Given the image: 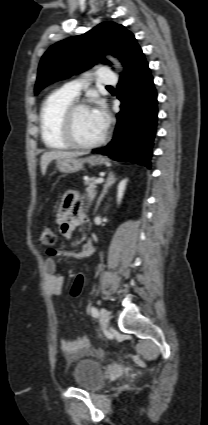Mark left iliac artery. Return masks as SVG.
<instances>
[{
    "label": "left iliac artery",
    "instance_id": "1",
    "mask_svg": "<svg viewBox=\"0 0 208 425\" xmlns=\"http://www.w3.org/2000/svg\"><path fill=\"white\" fill-rule=\"evenodd\" d=\"M91 314H92L93 317H97L99 315L98 310H97L96 307L93 306L91 308Z\"/></svg>",
    "mask_w": 208,
    "mask_h": 425
}]
</instances>
